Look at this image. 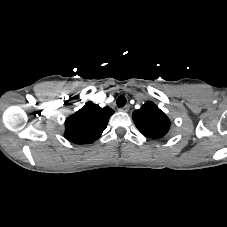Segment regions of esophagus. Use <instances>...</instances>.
<instances>
[{
  "label": "esophagus",
  "instance_id": "1",
  "mask_svg": "<svg viewBox=\"0 0 227 227\" xmlns=\"http://www.w3.org/2000/svg\"><path fill=\"white\" fill-rule=\"evenodd\" d=\"M119 111L120 112H128L129 111V105H126V106H124L122 108H119Z\"/></svg>",
  "mask_w": 227,
  "mask_h": 227
}]
</instances>
